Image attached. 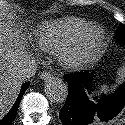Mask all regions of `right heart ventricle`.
Returning a JSON list of instances; mask_svg holds the SVG:
<instances>
[{
    "label": "right heart ventricle",
    "instance_id": "obj_1",
    "mask_svg": "<svg viewBox=\"0 0 125 125\" xmlns=\"http://www.w3.org/2000/svg\"><path fill=\"white\" fill-rule=\"evenodd\" d=\"M88 25L87 21L76 17L45 23L35 34V45L41 51L59 53L72 37Z\"/></svg>",
    "mask_w": 125,
    "mask_h": 125
}]
</instances>
